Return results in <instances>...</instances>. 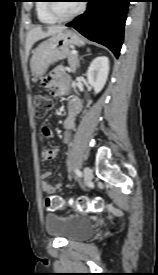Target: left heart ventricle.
Segmentation results:
<instances>
[{"label": "left heart ventricle", "instance_id": "b2bd125f", "mask_svg": "<svg viewBox=\"0 0 158 275\" xmlns=\"http://www.w3.org/2000/svg\"><path fill=\"white\" fill-rule=\"evenodd\" d=\"M60 2L62 3H57V9L59 13H61L62 15H69L74 10H76L80 5V3H77L80 1H60Z\"/></svg>", "mask_w": 158, "mask_h": 275}]
</instances>
